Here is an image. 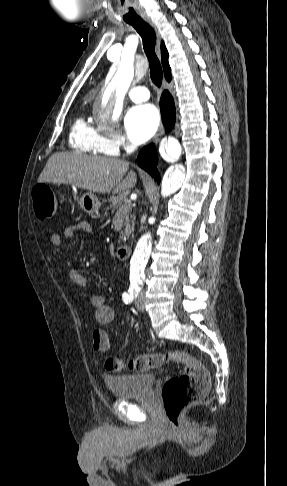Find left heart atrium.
I'll return each instance as SVG.
<instances>
[{
	"instance_id": "1",
	"label": "left heart atrium",
	"mask_w": 287,
	"mask_h": 486,
	"mask_svg": "<svg viewBox=\"0 0 287 486\" xmlns=\"http://www.w3.org/2000/svg\"><path fill=\"white\" fill-rule=\"evenodd\" d=\"M159 120V113L153 105H137L128 110L124 126L129 139L135 144H141L154 135Z\"/></svg>"
}]
</instances>
